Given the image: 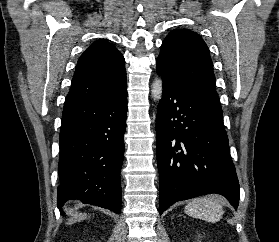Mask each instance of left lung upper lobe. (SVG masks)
Segmentation results:
<instances>
[{"label":"left lung upper lobe","mask_w":279,"mask_h":242,"mask_svg":"<svg viewBox=\"0 0 279 242\" xmlns=\"http://www.w3.org/2000/svg\"><path fill=\"white\" fill-rule=\"evenodd\" d=\"M157 60L164 62L174 76L198 90L222 111L209 49L197 33L181 29L171 31L162 43Z\"/></svg>","instance_id":"1"}]
</instances>
